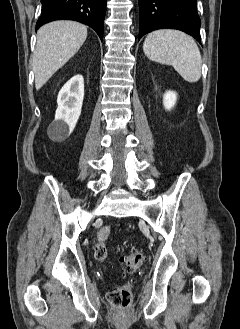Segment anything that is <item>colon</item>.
Wrapping results in <instances>:
<instances>
[{
  "label": "colon",
  "mask_w": 240,
  "mask_h": 329,
  "mask_svg": "<svg viewBox=\"0 0 240 329\" xmlns=\"http://www.w3.org/2000/svg\"><path fill=\"white\" fill-rule=\"evenodd\" d=\"M111 232L110 226H103L97 233L98 243L95 247V257L98 260H104L107 256L105 242ZM144 261V254L140 251H133L121 258V264L126 271L137 269ZM108 301L121 309H128L132 304V291L129 285L114 287L108 291Z\"/></svg>",
  "instance_id": "5ec220e1"
}]
</instances>
